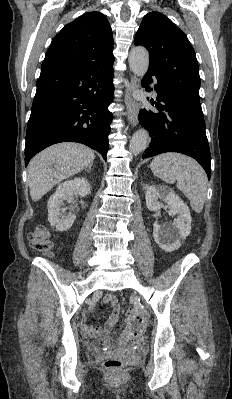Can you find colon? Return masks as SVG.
Wrapping results in <instances>:
<instances>
[{
	"label": "colon",
	"instance_id": "5ec220e1",
	"mask_svg": "<svg viewBox=\"0 0 232 399\" xmlns=\"http://www.w3.org/2000/svg\"><path fill=\"white\" fill-rule=\"evenodd\" d=\"M39 229L30 233L26 237L28 245L33 249H38L44 258L54 260L58 256V251L51 245L47 238L52 233V228L48 223H39ZM146 318L143 308H134L133 313H128L125 327L128 328V337H141V330H144ZM139 347L136 340H110L109 353H138ZM127 359L126 355H105L103 368H109V374H124Z\"/></svg>",
	"mask_w": 232,
	"mask_h": 399
}]
</instances>
